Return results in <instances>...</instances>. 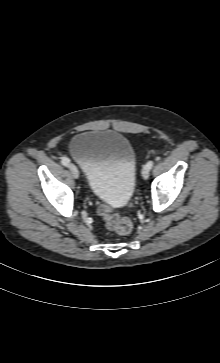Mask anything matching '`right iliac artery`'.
I'll use <instances>...</instances> for the list:
<instances>
[{"label":"right iliac artery","mask_w":220,"mask_h":363,"mask_svg":"<svg viewBox=\"0 0 220 363\" xmlns=\"http://www.w3.org/2000/svg\"><path fill=\"white\" fill-rule=\"evenodd\" d=\"M61 163L64 165V166H68L69 163H70V160L67 158V157H62L61 158Z\"/></svg>","instance_id":"obj_1"}]
</instances>
